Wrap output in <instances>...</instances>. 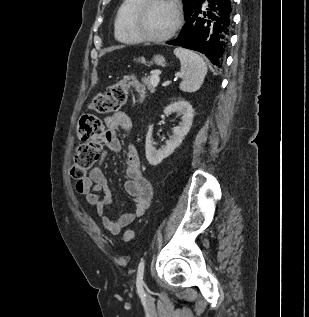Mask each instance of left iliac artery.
Masks as SVG:
<instances>
[{"label":"left iliac artery","mask_w":309,"mask_h":317,"mask_svg":"<svg viewBox=\"0 0 309 317\" xmlns=\"http://www.w3.org/2000/svg\"><path fill=\"white\" fill-rule=\"evenodd\" d=\"M144 267H145V262L143 259H141V261L138 265L137 281H136V285H137V288L139 291L142 290Z\"/></svg>","instance_id":"44dca946"}]
</instances>
